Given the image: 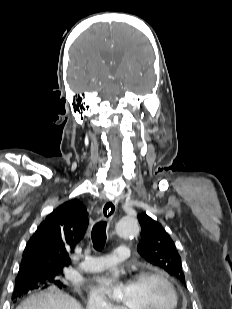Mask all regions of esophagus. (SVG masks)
<instances>
[{"label": "esophagus", "mask_w": 232, "mask_h": 309, "mask_svg": "<svg viewBox=\"0 0 232 309\" xmlns=\"http://www.w3.org/2000/svg\"><path fill=\"white\" fill-rule=\"evenodd\" d=\"M116 212V204L112 200H108L104 203L101 213L102 217L111 219Z\"/></svg>", "instance_id": "34e87169"}]
</instances>
